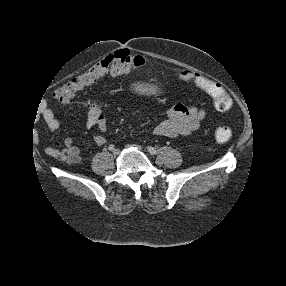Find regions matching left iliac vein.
<instances>
[{
  "mask_svg": "<svg viewBox=\"0 0 286 286\" xmlns=\"http://www.w3.org/2000/svg\"><path fill=\"white\" fill-rule=\"evenodd\" d=\"M126 147H134V148H136V149H138V150H140V151H142V150H143V147H142V146H140V145H137V144L127 145Z\"/></svg>",
  "mask_w": 286,
  "mask_h": 286,
  "instance_id": "left-iliac-vein-1",
  "label": "left iliac vein"
}]
</instances>
